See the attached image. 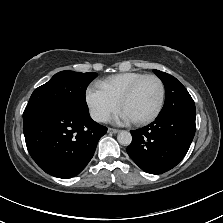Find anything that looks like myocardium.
Wrapping results in <instances>:
<instances>
[{
  "label": "myocardium",
  "instance_id": "myocardium-1",
  "mask_svg": "<svg viewBox=\"0 0 223 223\" xmlns=\"http://www.w3.org/2000/svg\"><path fill=\"white\" fill-rule=\"evenodd\" d=\"M148 79H154L157 81L159 85V99H158V104L155 108V110L147 117L138 119V120H133V122L137 124H146L149 122H152L157 118V116L160 114L163 104H164V99H165V87L162 82V80L156 76V75H146L139 80H137L120 98H119V107L121 108L123 103L128 100L134 93L137 91V89L141 86V84L148 80Z\"/></svg>",
  "mask_w": 223,
  "mask_h": 223
}]
</instances>
